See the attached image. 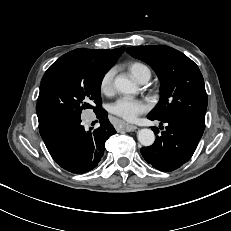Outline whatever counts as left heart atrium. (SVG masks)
Here are the masks:
<instances>
[{"instance_id":"obj_1","label":"left heart atrium","mask_w":231,"mask_h":231,"mask_svg":"<svg viewBox=\"0 0 231 231\" xmlns=\"http://www.w3.org/2000/svg\"><path fill=\"white\" fill-rule=\"evenodd\" d=\"M111 112L120 118L133 121L142 113L148 111L149 105L132 97H121L111 105Z\"/></svg>"}]
</instances>
